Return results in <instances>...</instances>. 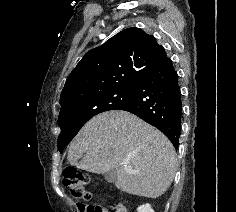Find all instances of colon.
<instances>
[{"instance_id": "colon-1", "label": "colon", "mask_w": 236, "mask_h": 212, "mask_svg": "<svg viewBox=\"0 0 236 212\" xmlns=\"http://www.w3.org/2000/svg\"><path fill=\"white\" fill-rule=\"evenodd\" d=\"M91 178L87 174L81 173L73 168L64 171L63 184L70 193L81 200L88 201L92 198V192L89 190ZM113 208V207H112ZM82 212H109L107 208L100 205H86L82 207Z\"/></svg>"}]
</instances>
